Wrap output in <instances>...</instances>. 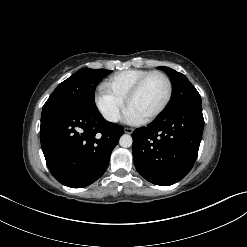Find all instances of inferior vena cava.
Wrapping results in <instances>:
<instances>
[{"label": "inferior vena cava", "instance_id": "obj_1", "mask_svg": "<svg viewBox=\"0 0 247 247\" xmlns=\"http://www.w3.org/2000/svg\"><path fill=\"white\" fill-rule=\"evenodd\" d=\"M106 120L111 122H117L119 120V115L116 113H111L105 116Z\"/></svg>", "mask_w": 247, "mask_h": 247}]
</instances>
